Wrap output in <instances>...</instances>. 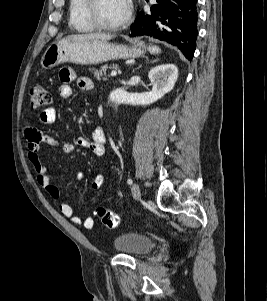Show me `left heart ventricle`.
I'll list each match as a JSON object with an SVG mask.
<instances>
[{"label":"left heart ventricle","mask_w":267,"mask_h":301,"mask_svg":"<svg viewBox=\"0 0 267 301\" xmlns=\"http://www.w3.org/2000/svg\"><path fill=\"white\" fill-rule=\"evenodd\" d=\"M98 16L106 24L119 22L126 13L125 0H100Z\"/></svg>","instance_id":"left-heart-ventricle-1"}]
</instances>
